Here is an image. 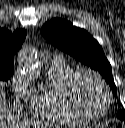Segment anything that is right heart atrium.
<instances>
[{
  "label": "right heart atrium",
  "instance_id": "obj_1",
  "mask_svg": "<svg viewBox=\"0 0 125 128\" xmlns=\"http://www.w3.org/2000/svg\"><path fill=\"white\" fill-rule=\"evenodd\" d=\"M13 91L17 102L28 101L33 95V87L23 71H17L13 77Z\"/></svg>",
  "mask_w": 125,
  "mask_h": 128
}]
</instances>
